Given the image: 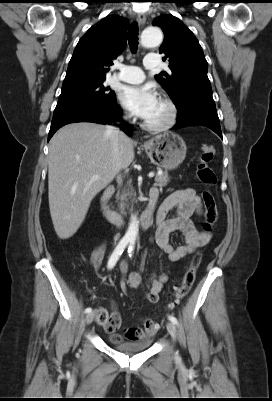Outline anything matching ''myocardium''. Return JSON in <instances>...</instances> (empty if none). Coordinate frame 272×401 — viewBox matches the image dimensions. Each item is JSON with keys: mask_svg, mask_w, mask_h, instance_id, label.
<instances>
[{"mask_svg": "<svg viewBox=\"0 0 272 401\" xmlns=\"http://www.w3.org/2000/svg\"><path fill=\"white\" fill-rule=\"evenodd\" d=\"M159 100L165 104L168 109L167 118L158 123H150L144 120L142 126L147 130L155 132L166 131L174 127L178 121L179 111L176 103L167 96H161Z\"/></svg>", "mask_w": 272, "mask_h": 401, "instance_id": "f54148a6", "label": "myocardium"}]
</instances>
